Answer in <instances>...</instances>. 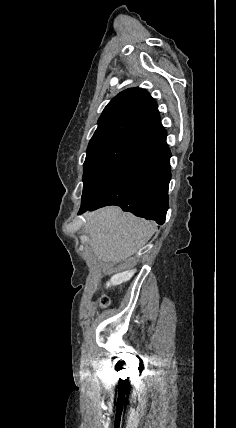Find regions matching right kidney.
Here are the masks:
<instances>
[{"mask_svg":"<svg viewBox=\"0 0 236 428\" xmlns=\"http://www.w3.org/2000/svg\"><path fill=\"white\" fill-rule=\"evenodd\" d=\"M111 274L113 275L114 273L112 272ZM133 274H135L134 270H128V272H122V274H116V276H113V278L107 279V284L113 285V286H116V284H120L119 290L125 291L126 285L122 284V282H128V280L132 278Z\"/></svg>","mask_w":236,"mask_h":428,"instance_id":"ca27d5eb","label":"right kidney"}]
</instances>
